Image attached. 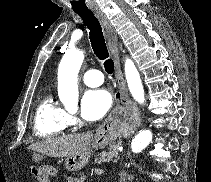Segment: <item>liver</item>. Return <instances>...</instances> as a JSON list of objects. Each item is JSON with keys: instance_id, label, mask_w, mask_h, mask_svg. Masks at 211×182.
<instances>
[{"instance_id": "liver-1", "label": "liver", "mask_w": 211, "mask_h": 182, "mask_svg": "<svg viewBox=\"0 0 211 182\" xmlns=\"http://www.w3.org/2000/svg\"><path fill=\"white\" fill-rule=\"evenodd\" d=\"M93 133H80L62 137H53L33 143L29 149L50 157H71L88 149Z\"/></svg>"}]
</instances>
